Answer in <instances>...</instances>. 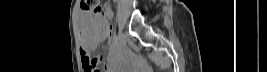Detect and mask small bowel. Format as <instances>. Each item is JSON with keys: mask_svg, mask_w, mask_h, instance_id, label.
Instances as JSON below:
<instances>
[{"mask_svg": "<svg viewBox=\"0 0 267 72\" xmlns=\"http://www.w3.org/2000/svg\"><path fill=\"white\" fill-rule=\"evenodd\" d=\"M111 9L107 10V14L108 16L111 15ZM90 26L94 29V34H93V45H95L97 42L103 40L105 38L106 35V30H100L99 26L97 24V21H89ZM111 50V47H110ZM88 54L86 53V50L81 51V60H82V64L86 67L87 65V59H88ZM107 71H109V69H107Z\"/></svg>", "mask_w": 267, "mask_h": 72, "instance_id": "1", "label": "small bowel"}]
</instances>
